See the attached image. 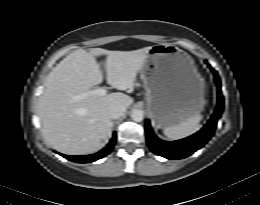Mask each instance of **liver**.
I'll return each mask as SVG.
<instances>
[{
	"label": "liver",
	"mask_w": 260,
	"mask_h": 205,
	"mask_svg": "<svg viewBox=\"0 0 260 205\" xmlns=\"http://www.w3.org/2000/svg\"><path fill=\"white\" fill-rule=\"evenodd\" d=\"M151 47L133 51H109L102 48L78 49L57 64L44 83L38 115L44 139L56 150L69 155L96 152L111 133V107L126 109L133 98L115 92L91 95L75 101L74 96L96 89L103 81L96 57L106 56L107 83L120 91L133 87Z\"/></svg>",
	"instance_id": "6515ba94"
}]
</instances>
